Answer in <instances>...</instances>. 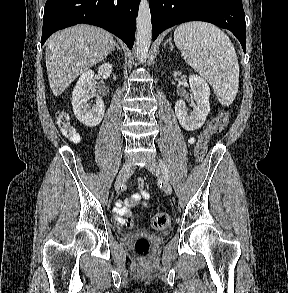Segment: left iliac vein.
<instances>
[{"label": "left iliac vein", "instance_id": "left-iliac-vein-1", "mask_svg": "<svg viewBox=\"0 0 288 293\" xmlns=\"http://www.w3.org/2000/svg\"><path fill=\"white\" fill-rule=\"evenodd\" d=\"M147 170H149L151 173L155 174L156 176H161V169L156 160H151L147 165H146ZM163 189L166 194L170 195L172 193V187L168 180L165 178L163 179Z\"/></svg>", "mask_w": 288, "mask_h": 293}]
</instances>
